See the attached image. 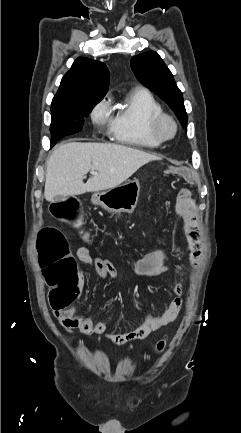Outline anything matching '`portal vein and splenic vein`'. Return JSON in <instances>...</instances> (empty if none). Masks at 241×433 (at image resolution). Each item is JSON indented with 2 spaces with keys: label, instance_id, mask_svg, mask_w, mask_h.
I'll return each instance as SVG.
<instances>
[{
  "label": "portal vein and splenic vein",
  "instance_id": "1",
  "mask_svg": "<svg viewBox=\"0 0 241 433\" xmlns=\"http://www.w3.org/2000/svg\"><path fill=\"white\" fill-rule=\"evenodd\" d=\"M90 173H91L92 175H97V174H98V172H96V171H94V170H91Z\"/></svg>",
  "mask_w": 241,
  "mask_h": 433
}]
</instances>
